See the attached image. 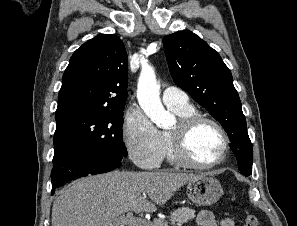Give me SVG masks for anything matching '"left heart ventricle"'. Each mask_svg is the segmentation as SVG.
Instances as JSON below:
<instances>
[{"mask_svg":"<svg viewBox=\"0 0 297 226\" xmlns=\"http://www.w3.org/2000/svg\"><path fill=\"white\" fill-rule=\"evenodd\" d=\"M174 125L171 129H175ZM224 139L219 130L209 123L195 127L188 139L191 156L199 163L207 164L215 161L221 154Z\"/></svg>","mask_w":297,"mask_h":226,"instance_id":"obj_1","label":"left heart ventricle"}]
</instances>
